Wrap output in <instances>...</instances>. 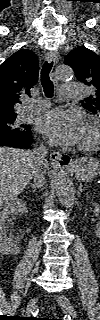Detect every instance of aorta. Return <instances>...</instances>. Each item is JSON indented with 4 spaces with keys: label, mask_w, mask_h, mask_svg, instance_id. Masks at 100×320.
<instances>
[{
    "label": "aorta",
    "mask_w": 100,
    "mask_h": 320,
    "mask_svg": "<svg viewBox=\"0 0 100 320\" xmlns=\"http://www.w3.org/2000/svg\"><path fill=\"white\" fill-rule=\"evenodd\" d=\"M74 76V72L70 66L64 65L57 68L56 78L59 81H70ZM56 195L65 207H69L74 201L73 184L69 175L60 170L55 177Z\"/></svg>",
    "instance_id": "obj_1"
}]
</instances>
